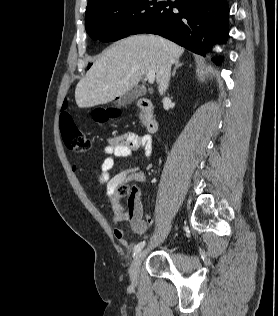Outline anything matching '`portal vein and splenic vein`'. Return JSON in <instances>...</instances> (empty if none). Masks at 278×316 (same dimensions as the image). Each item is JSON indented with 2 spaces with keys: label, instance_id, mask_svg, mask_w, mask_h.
<instances>
[{
  "label": "portal vein and splenic vein",
  "instance_id": "1",
  "mask_svg": "<svg viewBox=\"0 0 278 316\" xmlns=\"http://www.w3.org/2000/svg\"><path fill=\"white\" fill-rule=\"evenodd\" d=\"M146 78L148 79L149 83H153L155 80V72L153 70H150L146 73Z\"/></svg>",
  "mask_w": 278,
  "mask_h": 316
}]
</instances>
